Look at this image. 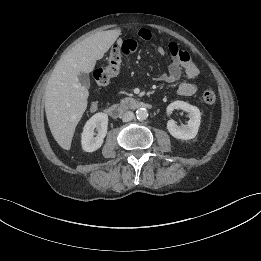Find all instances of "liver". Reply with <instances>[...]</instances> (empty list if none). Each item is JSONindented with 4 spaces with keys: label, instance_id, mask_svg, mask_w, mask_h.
<instances>
[{
    "label": "liver",
    "instance_id": "liver-1",
    "mask_svg": "<svg viewBox=\"0 0 261 261\" xmlns=\"http://www.w3.org/2000/svg\"><path fill=\"white\" fill-rule=\"evenodd\" d=\"M120 29L98 32L67 52L56 64L45 90V112L57 143L69 149L75 127L87 108L88 89L78 82L81 73H90L97 60L114 44Z\"/></svg>",
    "mask_w": 261,
    "mask_h": 261
}]
</instances>
